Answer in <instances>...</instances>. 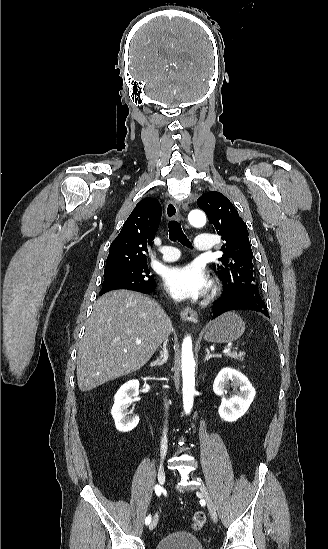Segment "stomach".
Listing matches in <instances>:
<instances>
[{"mask_svg":"<svg viewBox=\"0 0 328 549\" xmlns=\"http://www.w3.org/2000/svg\"><path fill=\"white\" fill-rule=\"evenodd\" d=\"M245 331V323L235 311L223 313L214 321H210L205 331L207 343H231L236 341Z\"/></svg>","mask_w":328,"mask_h":549,"instance_id":"obj_1","label":"stomach"}]
</instances>
